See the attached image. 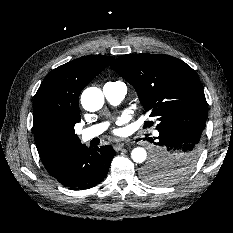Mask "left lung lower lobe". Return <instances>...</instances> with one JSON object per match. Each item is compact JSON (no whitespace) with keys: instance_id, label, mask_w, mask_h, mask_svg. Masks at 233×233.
I'll return each instance as SVG.
<instances>
[{"instance_id":"left-lung-lower-lobe-1","label":"left lung lower lobe","mask_w":233,"mask_h":233,"mask_svg":"<svg viewBox=\"0 0 233 233\" xmlns=\"http://www.w3.org/2000/svg\"><path fill=\"white\" fill-rule=\"evenodd\" d=\"M205 124L177 123L158 129L159 136L148 138L157 148L153 158L159 164L173 167L182 160L197 162L202 149V132Z\"/></svg>"}]
</instances>
